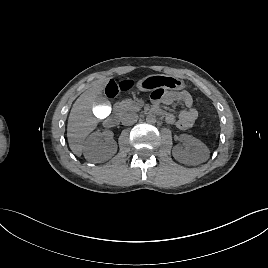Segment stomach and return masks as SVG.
I'll list each match as a JSON object with an SVG mask.
<instances>
[{"label":"stomach","instance_id":"stomach-1","mask_svg":"<svg viewBox=\"0 0 268 268\" xmlns=\"http://www.w3.org/2000/svg\"><path fill=\"white\" fill-rule=\"evenodd\" d=\"M186 87L185 82L172 75L153 74L140 79L137 89L142 92L154 91L156 89L179 91Z\"/></svg>","mask_w":268,"mask_h":268}]
</instances>
